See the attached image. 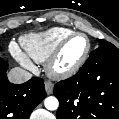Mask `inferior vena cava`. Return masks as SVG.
<instances>
[{
    "mask_svg": "<svg viewBox=\"0 0 119 119\" xmlns=\"http://www.w3.org/2000/svg\"><path fill=\"white\" fill-rule=\"evenodd\" d=\"M32 78V74L19 67L12 68L8 73V79L11 83L21 84Z\"/></svg>",
    "mask_w": 119,
    "mask_h": 119,
    "instance_id": "1",
    "label": "inferior vena cava"
}]
</instances>
